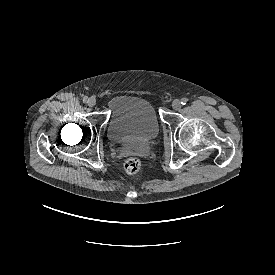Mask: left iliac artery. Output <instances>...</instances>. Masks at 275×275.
I'll return each instance as SVG.
<instances>
[{
    "label": "left iliac artery",
    "mask_w": 275,
    "mask_h": 275,
    "mask_svg": "<svg viewBox=\"0 0 275 275\" xmlns=\"http://www.w3.org/2000/svg\"><path fill=\"white\" fill-rule=\"evenodd\" d=\"M187 101H188V100H187L186 98H182V99H181V104H182V105H185V104L187 103Z\"/></svg>",
    "instance_id": "left-iliac-artery-1"
}]
</instances>
